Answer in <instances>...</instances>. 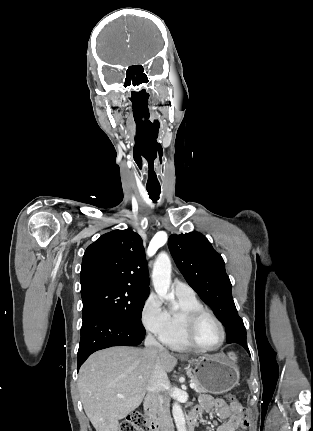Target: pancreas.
Listing matches in <instances>:
<instances>
[{"label": "pancreas", "mask_w": 313, "mask_h": 431, "mask_svg": "<svg viewBox=\"0 0 313 431\" xmlns=\"http://www.w3.org/2000/svg\"><path fill=\"white\" fill-rule=\"evenodd\" d=\"M188 376L191 378V382H193L196 387L194 388V390L197 393H202L205 392L204 388L199 384V382L197 381V379L192 375V373L190 372V370L188 371Z\"/></svg>", "instance_id": "obj_1"}]
</instances>
